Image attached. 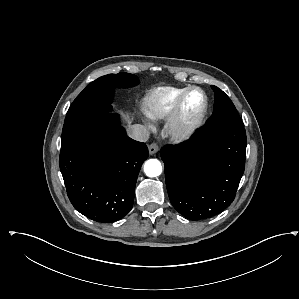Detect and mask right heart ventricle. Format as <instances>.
I'll use <instances>...</instances> for the list:
<instances>
[{"label":"right heart ventricle","mask_w":299,"mask_h":299,"mask_svg":"<svg viewBox=\"0 0 299 299\" xmlns=\"http://www.w3.org/2000/svg\"><path fill=\"white\" fill-rule=\"evenodd\" d=\"M185 89L187 88L166 86L150 91L143 99L144 115L152 121L166 118Z\"/></svg>","instance_id":"right-heart-ventricle-1"}]
</instances>
